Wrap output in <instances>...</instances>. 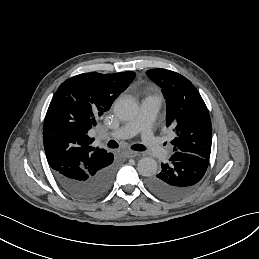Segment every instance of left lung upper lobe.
Wrapping results in <instances>:
<instances>
[{
	"label": "left lung upper lobe",
	"instance_id": "1",
	"mask_svg": "<svg viewBox=\"0 0 259 259\" xmlns=\"http://www.w3.org/2000/svg\"><path fill=\"white\" fill-rule=\"evenodd\" d=\"M166 98V126H175V152L210 158L212 126L208 109L196 87L184 76L162 68L146 72Z\"/></svg>",
	"mask_w": 259,
	"mask_h": 259
}]
</instances>
